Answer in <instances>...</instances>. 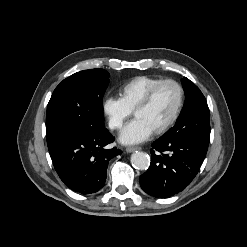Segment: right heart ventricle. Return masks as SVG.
I'll list each match as a JSON object with an SVG mask.
<instances>
[{
	"label": "right heart ventricle",
	"mask_w": 247,
	"mask_h": 247,
	"mask_svg": "<svg viewBox=\"0 0 247 247\" xmlns=\"http://www.w3.org/2000/svg\"><path fill=\"white\" fill-rule=\"evenodd\" d=\"M162 80V78L149 75L134 77L120 88V98L132 112L146 93Z\"/></svg>",
	"instance_id": "e07e8e85"
}]
</instances>
